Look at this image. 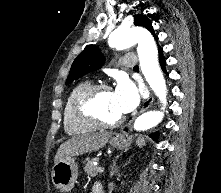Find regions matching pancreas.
<instances>
[{"instance_id": "pancreas-1", "label": "pancreas", "mask_w": 221, "mask_h": 193, "mask_svg": "<svg viewBox=\"0 0 221 193\" xmlns=\"http://www.w3.org/2000/svg\"><path fill=\"white\" fill-rule=\"evenodd\" d=\"M95 161H97V158H92L89 161H87V163L84 166V171L92 177H95L98 175L97 173L98 167L93 165Z\"/></svg>"}]
</instances>
